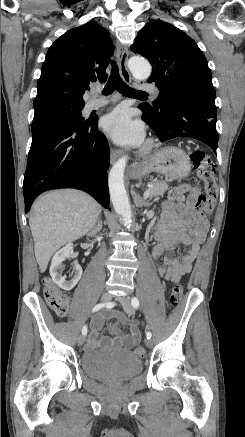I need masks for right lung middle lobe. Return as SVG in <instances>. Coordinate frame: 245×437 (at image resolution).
<instances>
[{"label":"right lung middle lobe","instance_id":"1","mask_svg":"<svg viewBox=\"0 0 245 437\" xmlns=\"http://www.w3.org/2000/svg\"><path fill=\"white\" fill-rule=\"evenodd\" d=\"M84 105L70 103H55L35 108L32 122V133L38 131L44 125L54 121H63L75 125H85L91 119H84L81 110Z\"/></svg>","mask_w":245,"mask_h":437}]
</instances>
